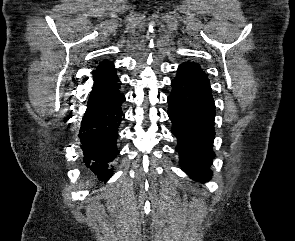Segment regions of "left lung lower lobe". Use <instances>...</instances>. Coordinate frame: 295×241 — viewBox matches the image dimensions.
<instances>
[{
  "mask_svg": "<svg viewBox=\"0 0 295 241\" xmlns=\"http://www.w3.org/2000/svg\"><path fill=\"white\" fill-rule=\"evenodd\" d=\"M168 96V116L172 133L177 138L179 163L193 180L209 181L210 165L215 153V104L212 94L201 90L185 77L177 75L171 82Z\"/></svg>",
  "mask_w": 295,
  "mask_h": 241,
  "instance_id": "0a47b994",
  "label": "left lung lower lobe"
}]
</instances>
